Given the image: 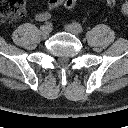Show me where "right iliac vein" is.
Segmentation results:
<instances>
[{
    "label": "right iliac vein",
    "instance_id": "right-iliac-vein-1",
    "mask_svg": "<svg viewBox=\"0 0 128 128\" xmlns=\"http://www.w3.org/2000/svg\"><path fill=\"white\" fill-rule=\"evenodd\" d=\"M40 31H41V34L46 37V36H48L49 33H50V28L47 27V26H42V27L40 28Z\"/></svg>",
    "mask_w": 128,
    "mask_h": 128
}]
</instances>
